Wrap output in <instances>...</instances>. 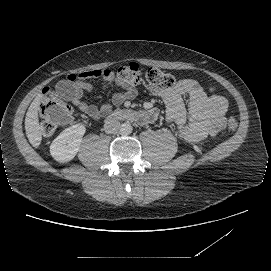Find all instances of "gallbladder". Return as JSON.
Here are the masks:
<instances>
[{
    "label": "gallbladder",
    "mask_w": 271,
    "mask_h": 271,
    "mask_svg": "<svg viewBox=\"0 0 271 271\" xmlns=\"http://www.w3.org/2000/svg\"><path fill=\"white\" fill-rule=\"evenodd\" d=\"M57 92L62 97H67L72 92V87L68 81H60L56 86Z\"/></svg>",
    "instance_id": "1"
}]
</instances>
